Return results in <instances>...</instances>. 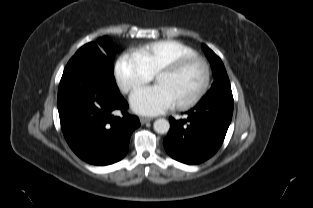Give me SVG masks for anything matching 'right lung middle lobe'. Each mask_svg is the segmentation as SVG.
<instances>
[{
	"mask_svg": "<svg viewBox=\"0 0 313 208\" xmlns=\"http://www.w3.org/2000/svg\"><path fill=\"white\" fill-rule=\"evenodd\" d=\"M79 60H90L99 64L105 74L113 75V51L106 41V37L99 38L98 44L90 42L82 46L69 60L64 70H68L72 64Z\"/></svg>",
	"mask_w": 313,
	"mask_h": 208,
	"instance_id": "right-lung-middle-lobe-1",
	"label": "right lung middle lobe"
}]
</instances>
